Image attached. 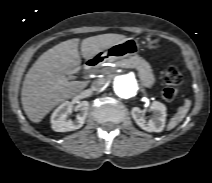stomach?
Returning <instances> with one entry per match:
<instances>
[{
  "label": "stomach",
  "mask_w": 212,
  "mask_h": 183,
  "mask_svg": "<svg viewBox=\"0 0 212 183\" xmlns=\"http://www.w3.org/2000/svg\"><path fill=\"white\" fill-rule=\"evenodd\" d=\"M145 46L150 50H157L161 47L158 39L146 38ZM139 50V44L134 38H125L110 46L102 53V57L106 61H115L129 58L136 54Z\"/></svg>",
  "instance_id": "stomach-1"
}]
</instances>
